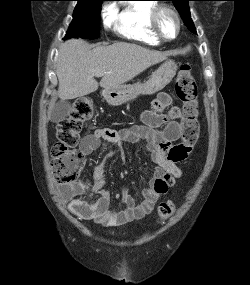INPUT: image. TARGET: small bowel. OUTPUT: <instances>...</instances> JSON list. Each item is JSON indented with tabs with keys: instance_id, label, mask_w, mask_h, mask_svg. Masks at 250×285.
I'll return each mask as SVG.
<instances>
[{
	"instance_id": "obj_1",
	"label": "small bowel",
	"mask_w": 250,
	"mask_h": 285,
	"mask_svg": "<svg viewBox=\"0 0 250 285\" xmlns=\"http://www.w3.org/2000/svg\"><path fill=\"white\" fill-rule=\"evenodd\" d=\"M169 103L170 97L161 93L153 102L154 110L143 113L142 125L119 130L99 128L88 133L82 139L80 151L83 155L91 154L100 147L103 141H107L116 147L121 153L122 159L126 157L125 143L146 141L147 150L155 168L147 187L142 190V201L136 204L134 199L123 189L121 206L115 209L110 208L111 195L105 189L104 162L97 166L94 182L91 185L83 182L60 184V193L68 202V207L74 215L104 226H114L142 219L153 211L159 198L166 194L168 189L173 187L176 180L181 177L182 171L178 162L185 159L191 149L182 145H172L181 136V126L177 121L178 110H171L167 114L160 113V110L167 107ZM163 125H165L163 131L159 130ZM88 191L97 194L98 199L94 202L82 199L81 196Z\"/></svg>"
}]
</instances>
